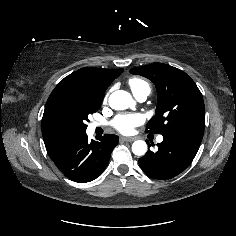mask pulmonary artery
Listing matches in <instances>:
<instances>
[{"mask_svg":"<svg viewBox=\"0 0 236 236\" xmlns=\"http://www.w3.org/2000/svg\"><path fill=\"white\" fill-rule=\"evenodd\" d=\"M147 96H148L147 94L142 93V94L137 95L136 98H137L140 102H143V101H145V100L147 99ZM93 126L96 127V126H98V124H97V123H94ZM157 141H158V142H162V141H163V136H162V135H159V136L157 137Z\"/></svg>","mask_w":236,"mask_h":236,"instance_id":"e3ab8cb5","label":"pulmonary artery"}]
</instances>
